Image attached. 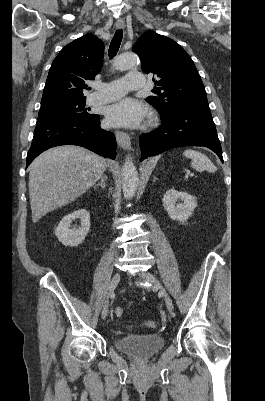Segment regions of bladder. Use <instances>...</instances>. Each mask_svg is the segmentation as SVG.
<instances>
[{
    "label": "bladder",
    "instance_id": "31cf9c89",
    "mask_svg": "<svg viewBox=\"0 0 265 401\" xmlns=\"http://www.w3.org/2000/svg\"><path fill=\"white\" fill-rule=\"evenodd\" d=\"M164 343L165 339L162 337L149 335L130 336L114 340L118 351L139 359L154 356L163 348Z\"/></svg>",
    "mask_w": 265,
    "mask_h": 401
}]
</instances>
